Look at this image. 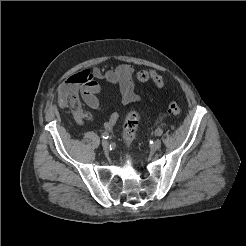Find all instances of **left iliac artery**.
Wrapping results in <instances>:
<instances>
[{
	"mask_svg": "<svg viewBox=\"0 0 246 246\" xmlns=\"http://www.w3.org/2000/svg\"><path fill=\"white\" fill-rule=\"evenodd\" d=\"M162 133H163V130H162L161 128H157V129L155 130V135H157V136H161Z\"/></svg>",
	"mask_w": 246,
	"mask_h": 246,
	"instance_id": "obj_1",
	"label": "left iliac artery"
}]
</instances>
